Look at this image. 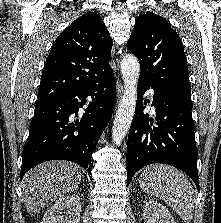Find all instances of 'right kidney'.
Returning a JSON list of instances; mask_svg holds the SVG:
<instances>
[{
  "instance_id": "1",
  "label": "right kidney",
  "mask_w": 221,
  "mask_h": 223,
  "mask_svg": "<svg viewBox=\"0 0 221 223\" xmlns=\"http://www.w3.org/2000/svg\"><path fill=\"white\" fill-rule=\"evenodd\" d=\"M80 212V197L76 194L64 196L47 210L42 223H79Z\"/></svg>"
}]
</instances>
